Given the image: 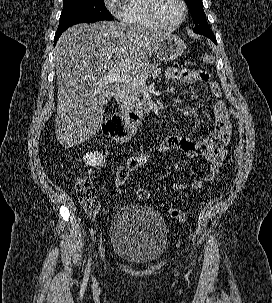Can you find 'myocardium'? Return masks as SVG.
Wrapping results in <instances>:
<instances>
[{
    "instance_id": "f54148a6",
    "label": "myocardium",
    "mask_w": 272,
    "mask_h": 303,
    "mask_svg": "<svg viewBox=\"0 0 272 303\" xmlns=\"http://www.w3.org/2000/svg\"><path fill=\"white\" fill-rule=\"evenodd\" d=\"M178 1L182 7L181 17L176 22L167 24V23H164L158 15V6L160 3V0H149L148 14H149V17L152 20V22L157 27H159L161 29H166V30L175 29V28L179 27L185 21L188 9H187V4H186L185 0H178Z\"/></svg>"
}]
</instances>
